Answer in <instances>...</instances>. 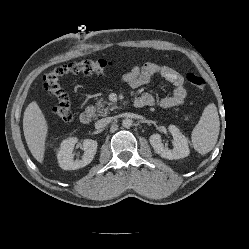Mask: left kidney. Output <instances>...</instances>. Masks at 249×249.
I'll use <instances>...</instances> for the list:
<instances>
[{"label":"left kidney","instance_id":"obj_1","mask_svg":"<svg viewBox=\"0 0 249 249\" xmlns=\"http://www.w3.org/2000/svg\"><path fill=\"white\" fill-rule=\"evenodd\" d=\"M169 132L173 136V145L172 150L164 147L161 141V135L153 134L150 136L149 141L154 151L159 154L162 158L173 160L187 157L190 153L188 140L180 132V129L175 125H170L168 127Z\"/></svg>","mask_w":249,"mask_h":249}]
</instances>
